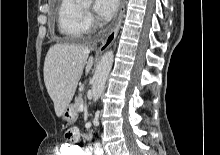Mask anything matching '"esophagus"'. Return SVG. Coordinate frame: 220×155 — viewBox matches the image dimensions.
Wrapping results in <instances>:
<instances>
[{"mask_svg": "<svg viewBox=\"0 0 220 155\" xmlns=\"http://www.w3.org/2000/svg\"><path fill=\"white\" fill-rule=\"evenodd\" d=\"M124 11H125V0H122L117 21H116L113 29L107 35L106 39L102 42V44L98 48V50H97L98 52L104 51L114 42V40L118 34L121 22H122Z\"/></svg>", "mask_w": 220, "mask_h": 155, "instance_id": "34e87169", "label": "esophagus"}]
</instances>
